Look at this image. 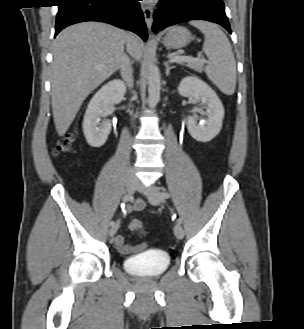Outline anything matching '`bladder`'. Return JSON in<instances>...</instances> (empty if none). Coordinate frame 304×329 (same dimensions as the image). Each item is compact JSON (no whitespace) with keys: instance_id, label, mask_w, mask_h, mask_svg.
Wrapping results in <instances>:
<instances>
[{"instance_id":"obj_1","label":"bladder","mask_w":304,"mask_h":329,"mask_svg":"<svg viewBox=\"0 0 304 329\" xmlns=\"http://www.w3.org/2000/svg\"><path fill=\"white\" fill-rule=\"evenodd\" d=\"M170 257L157 252L148 257L133 256L123 262L126 271L136 278L153 279L162 275L168 268Z\"/></svg>"}]
</instances>
